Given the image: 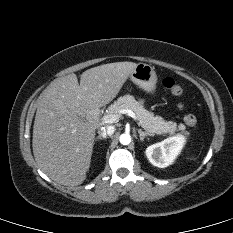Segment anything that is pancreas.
<instances>
[{
	"label": "pancreas",
	"mask_w": 233,
	"mask_h": 233,
	"mask_svg": "<svg viewBox=\"0 0 233 233\" xmlns=\"http://www.w3.org/2000/svg\"><path fill=\"white\" fill-rule=\"evenodd\" d=\"M123 109L132 110L137 117L139 125L152 135H175L176 131H181L186 135L189 134L185 131L183 125L177 126L175 122L165 121L161 116H154L153 112L145 109L141 101H137L131 95L119 97L117 101L109 106L107 115L118 113Z\"/></svg>",
	"instance_id": "1"
}]
</instances>
